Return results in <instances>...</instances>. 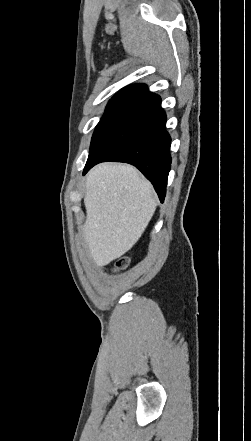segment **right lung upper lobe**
<instances>
[{
  "mask_svg": "<svg viewBox=\"0 0 251 441\" xmlns=\"http://www.w3.org/2000/svg\"><path fill=\"white\" fill-rule=\"evenodd\" d=\"M147 93L149 92L145 84L130 85L121 89L110 101H125L133 103Z\"/></svg>",
  "mask_w": 251,
  "mask_h": 441,
  "instance_id": "1",
  "label": "right lung upper lobe"
}]
</instances>
